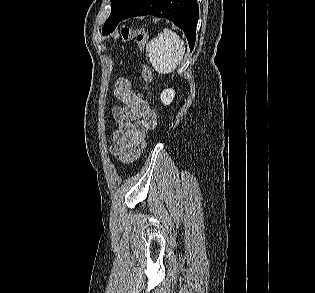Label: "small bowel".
Here are the masks:
<instances>
[{
  "label": "small bowel",
  "instance_id": "obj_1",
  "mask_svg": "<svg viewBox=\"0 0 315 293\" xmlns=\"http://www.w3.org/2000/svg\"><path fill=\"white\" fill-rule=\"evenodd\" d=\"M123 106H115L112 115L116 123L111 152L121 161H129L147 132L154 128L156 115L143 95L130 91L115 94Z\"/></svg>",
  "mask_w": 315,
  "mask_h": 293
}]
</instances>
